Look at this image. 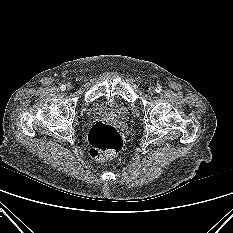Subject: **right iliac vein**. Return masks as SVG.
I'll return each mask as SVG.
<instances>
[{
  "label": "right iliac vein",
  "instance_id": "1",
  "mask_svg": "<svg viewBox=\"0 0 233 233\" xmlns=\"http://www.w3.org/2000/svg\"><path fill=\"white\" fill-rule=\"evenodd\" d=\"M67 90H68V91L72 90V84H71V83H68V84H67Z\"/></svg>",
  "mask_w": 233,
  "mask_h": 233
}]
</instances>
